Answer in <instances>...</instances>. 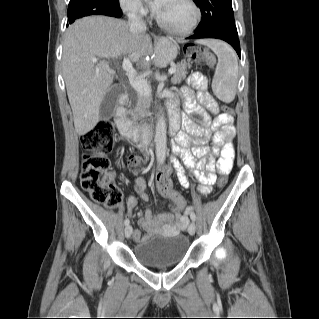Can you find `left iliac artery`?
<instances>
[{
    "instance_id": "obj_1",
    "label": "left iliac artery",
    "mask_w": 319,
    "mask_h": 319,
    "mask_svg": "<svg viewBox=\"0 0 319 319\" xmlns=\"http://www.w3.org/2000/svg\"><path fill=\"white\" fill-rule=\"evenodd\" d=\"M190 218H191V220H192L193 222L196 220V215H195L194 212H191V213H190Z\"/></svg>"
}]
</instances>
